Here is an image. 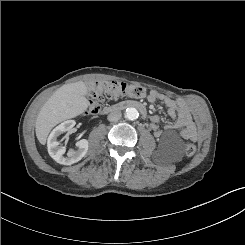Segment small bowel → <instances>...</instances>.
Here are the masks:
<instances>
[{
  "label": "small bowel",
  "instance_id": "small-bowel-1",
  "mask_svg": "<svg viewBox=\"0 0 245 245\" xmlns=\"http://www.w3.org/2000/svg\"><path fill=\"white\" fill-rule=\"evenodd\" d=\"M147 99L151 103L160 101L166 107L168 115L172 120L166 126V130L181 129L180 135L183 139L191 141L198 140L199 132L185 102L156 91H151ZM151 122V129L155 137L160 138L163 135V131L158 125L160 118L157 115H153L151 116Z\"/></svg>",
  "mask_w": 245,
  "mask_h": 245
}]
</instances>
